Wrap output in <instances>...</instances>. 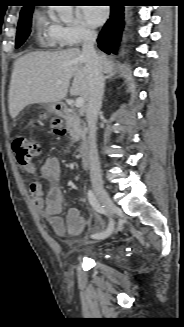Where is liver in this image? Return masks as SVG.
I'll list each match as a JSON object with an SVG mask.
<instances>
[{
    "label": "liver",
    "mask_w": 184,
    "mask_h": 327,
    "mask_svg": "<svg viewBox=\"0 0 184 327\" xmlns=\"http://www.w3.org/2000/svg\"><path fill=\"white\" fill-rule=\"evenodd\" d=\"M98 56L102 70L111 73L114 67L111 58L105 54ZM89 82L87 62L78 48L28 53L13 65L9 87L10 116L15 119L30 104L58 103L66 97L69 87L71 95L88 101Z\"/></svg>",
    "instance_id": "obj_1"
}]
</instances>
